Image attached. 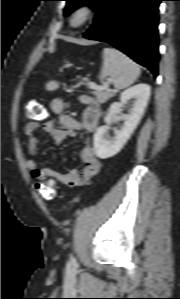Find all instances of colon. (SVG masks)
Returning a JSON list of instances; mask_svg holds the SVG:
<instances>
[{"instance_id": "colon-1", "label": "colon", "mask_w": 180, "mask_h": 299, "mask_svg": "<svg viewBox=\"0 0 180 299\" xmlns=\"http://www.w3.org/2000/svg\"><path fill=\"white\" fill-rule=\"evenodd\" d=\"M48 116V111L44 105L37 100H31L27 104L26 118L32 121H41ZM37 189L41 195L48 200L56 196V185L53 180H45L37 184Z\"/></svg>"}]
</instances>
